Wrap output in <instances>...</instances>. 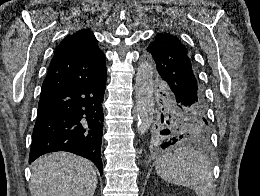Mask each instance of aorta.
<instances>
[{
	"mask_svg": "<svg viewBox=\"0 0 260 196\" xmlns=\"http://www.w3.org/2000/svg\"><path fill=\"white\" fill-rule=\"evenodd\" d=\"M153 68L149 62L139 64L136 72V115L137 129L140 135L144 134L154 112Z\"/></svg>",
	"mask_w": 260,
	"mask_h": 196,
	"instance_id": "aorta-1",
	"label": "aorta"
}]
</instances>
